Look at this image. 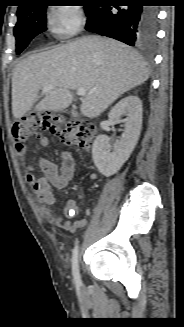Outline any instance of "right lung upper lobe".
Returning a JSON list of instances; mask_svg holds the SVG:
<instances>
[{"label": "right lung upper lobe", "instance_id": "cb5924a9", "mask_svg": "<svg viewBox=\"0 0 184 327\" xmlns=\"http://www.w3.org/2000/svg\"><path fill=\"white\" fill-rule=\"evenodd\" d=\"M40 2L41 0H20L21 5L19 6L18 11L24 10Z\"/></svg>", "mask_w": 184, "mask_h": 327}]
</instances>
